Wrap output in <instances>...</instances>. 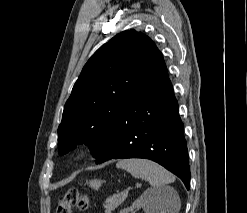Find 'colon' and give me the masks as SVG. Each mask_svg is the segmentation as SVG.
Wrapping results in <instances>:
<instances>
[{"label": "colon", "mask_w": 247, "mask_h": 213, "mask_svg": "<svg viewBox=\"0 0 247 213\" xmlns=\"http://www.w3.org/2000/svg\"><path fill=\"white\" fill-rule=\"evenodd\" d=\"M89 207V198L77 189H70L58 201L56 213H73L75 208L86 210Z\"/></svg>", "instance_id": "5ec220e1"}]
</instances>
